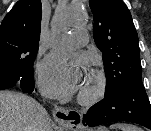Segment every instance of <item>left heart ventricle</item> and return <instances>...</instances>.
<instances>
[{"label":"left heart ventricle","mask_w":151,"mask_h":131,"mask_svg":"<svg viewBox=\"0 0 151 131\" xmlns=\"http://www.w3.org/2000/svg\"><path fill=\"white\" fill-rule=\"evenodd\" d=\"M91 80H90V78L89 79H87L86 80V82L84 83V85H83V87L81 88L82 89V91L81 92H83V91H86L87 89H89L90 88V86H91Z\"/></svg>","instance_id":"left-heart-ventricle-1"}]
</instances>
